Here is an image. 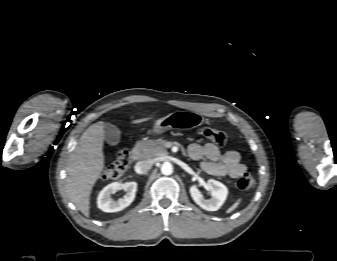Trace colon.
Masks as SVG:
<instances>
[{
  "label": "colon",
  "mask_w": 337,
  "mask_h": 261,
  "mask_svg": "<svg viewBox=\"0 0 337 261\" xmlns=\"http://www.w3.org/2000/svg\"><path fill=\"white\" fill-rule=\"evenodd\" d=\"M198 134L211 141L218 146H225L227 142L226 135L219 130L213 128H200ZM117 158L110 165L106 166L102 172L104 179H118L123 176L128 170L131 157L126 149H117ZM255 185L253 176L249 173H244L237 181V187L240 190H249Z\"/></svg>",
  "instance_id": "1"
}]
</instances>
